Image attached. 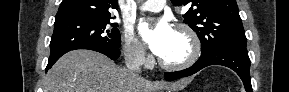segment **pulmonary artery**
Instances as JSON below:
<instances>
[{"label":"pulmonary artery","instance_id":"1","mask_svg":"<svg viewBox=\"0 0 289 92\" xmlns=\"http://www.w3.org/2000/svg\"><path fill=\"white\" fill-rule=\"evenodd\" d=\"M165 0H147L141 6V11L159 12L165 7Z\"/></svg>","mask_w":289,"mask_h":92}]
</instances>
